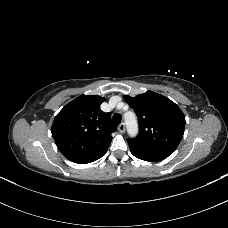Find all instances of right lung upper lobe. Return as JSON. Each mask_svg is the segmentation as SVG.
<instances>
[{"label": "right lung upper lobe", "mask_w": 228, "mask_h": 228, "mask_svg": "<svg viewBox=\"0 0 228 228\" xmlns=\"http://www.w3.org/2000/svg\"><path fill=\"white\" fill-rule=\"evenodd\" d=\"M100 96L81 95L68 103L55 117L51 132L60 152L78 161L108 149L116 126L111 115L100 109Z\"/></svg>", "instance_id": "cb5924a9"}]
</instances>
